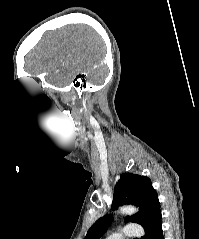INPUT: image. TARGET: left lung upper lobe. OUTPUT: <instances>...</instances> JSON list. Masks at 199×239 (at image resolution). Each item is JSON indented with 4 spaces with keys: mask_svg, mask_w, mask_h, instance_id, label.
I'll use <instances>...</instances> for the list:
<instances>
[{
    "mask_svg": "<svg viewBox=\"0 0 199 239\" xmlns=\"http://www.w3.org/2000/svg\"><path fill=\"white\" fill-rule=\"evenodd\" d=\"M124 204H134L139 212L126 217L125 222L131 221L140 224L143 228L160 211L157 193L146 176L124 173L118 181L113 195L112 210ZM112 217L105 215L99 218L88 230L85 239H100L106 228L111 224Z\"/></svg>",
    "mask_w": 199,
    "mask_h": 239,
    "instance_id": "5c2ea615",
    "label": "left lung upper lobe"
}]
</instances>
